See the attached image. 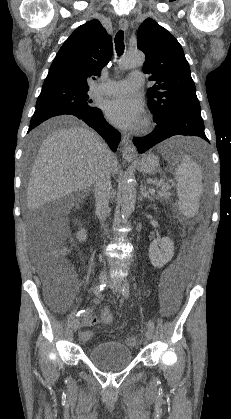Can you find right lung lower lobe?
I'll list each match as a JSON object with an SVG mask.
<instances>
[{"mask_svg":"<svg viewBox=\"0 0 231 419\" xmlns=\"http://www.w3.org/2000/svg\"><path fill=\"white\" fill-rule=\"evenodd\" d=\"M60 115H70L76 117L80 120H83L93 129H95L103 138H105L113 151L117 150L118 144L120 142L121 136L120 133L109 125L100 109L89 113V114H82V113H74L66 110H55V109H47V108H39L36 109L33 117L31 119V123L28 129L30 132L34 127L39 125L41 122Z\"/></svg>","mask_w":231,"mask_h":419,"instance_id":"1","label":"right lung lower lobe"}]
</instances>
